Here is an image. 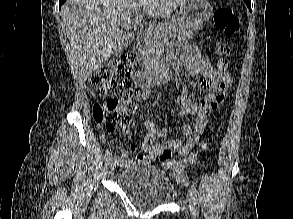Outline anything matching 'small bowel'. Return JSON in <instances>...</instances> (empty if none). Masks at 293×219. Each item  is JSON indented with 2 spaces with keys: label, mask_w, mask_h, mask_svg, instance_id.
Instances as JSON below:
<instances>
[{
  "label": "small bowel",
  "mask_w": 293,
  "mask_h": 219,
  "mask_svg": "<svg viewBox=\"0 0 293 219\" xmlns=\"http://www.w3.org/2000/svg\"><path fill=\"white\" fill-rule=\"evenodd\" d=\"M179 49L181 63L187 73L191 76L201 77L195 85L198 88L209 89L210 94L206 98L194 100L184 90L181 99V114L193 116L194 120L191 124L182 128V137L159 140V138L166 136V131H157L153 122L146 121L144 122L145 134L142 137V148L145 153H136L134 160H129V151L123 150L120 156L116 158L119 166L127 167L132 164L151 162L164 149H170L181 156L188 154L204 131L209 116L224 101L226 89L232 83L231 76L228 73L222 74L213 68L209 60L196 47L181 42ZM149 97L150 91L143 90L136 100H147ZM123 128L127 132L130 129V123L124 125ZM98 129L102 131L99 126ZM100 140L106 141V136L102 133L100 134ZM130 150L134 151L135 146L131 145ZM181 177V179L184 178L183 173Z\"/></svg>",
  "instance_id": "obj_1"
}]
</instances>
